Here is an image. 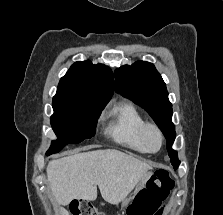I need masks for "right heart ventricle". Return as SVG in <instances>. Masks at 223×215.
Returning <instances> with one entry per match:
<instances>
[{
    "instance_id": "obj_1",
    "label": "right heart ventricle",
    "mask_w": 223,
    "mask_h": 215,
    "mask_svg": "<svg viewBox=\"0 0 223 215\" xmlns=\"http://www.w3.org/2000/svg\"><path fill=\"white\" fill-rule=\"evenodd\" d=\"M107 133L119 145L134 152L143 153L141 129L145 120L131 103H122L113 108Z\"/></svg>"
}]
</instances>
